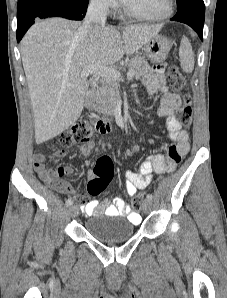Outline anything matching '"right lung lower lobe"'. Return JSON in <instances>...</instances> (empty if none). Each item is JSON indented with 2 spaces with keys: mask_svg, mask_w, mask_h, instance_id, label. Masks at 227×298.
<instances>
[{
  "mask_svg": "<svg viewBox=\"0 0 227 298\" xmlns=\"http://www.w3.org/2000/svg\"><path fill=\"white\" fill-rule=\"evenodd\" d=\"M88 3L77 0H36L17 10V41L19 42L35 20L63 17L82 20Z\"/></svg>",
  "mask_w": 227,
  "mask_h": 298,
  "instance_id": "right-lung-lower-lobe-1",
  "label": "right lung lower lobe"
}]
</instances>
